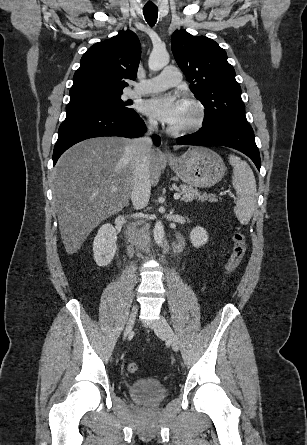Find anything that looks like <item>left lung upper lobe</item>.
Wrapping results in <instances>:
<instances>
[{
    "label": "left lung upper lobe",
    "mask_w": 307,
    "mask_h": 445,
    "mask_svg": "<svg viewBox=\"0 0 307 445\" xmlns=\"http://www.w3.org/2000/svg\"><path fill=\"white\" fill-rule=\"evenodd\" d=\"M177 64L205 107L203 127L222 121L247 123L241 88L227 54L214 40L177 30L171 38Z\"/></svg>",
    "instance_id": "1"
}]
</instances>
